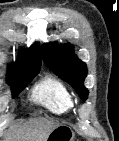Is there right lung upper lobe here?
Masks as SVG:
<instances>
[{"label":"right lung upper lobe","instance_id":"obj_1","mask_svg":"<svg viewBox=\"0 0 119 141\" xmlns=\"http://www.w3.org/2000/svg\"><path fill=\"white\" fill-rule=\"evenodd\" d=\"M41 66V50L38 43L30 49L22 51L18 60L9 67V75H23L39 71Z\"/></svg>","mask_w":119,"mask_h":141}]
</instances>
